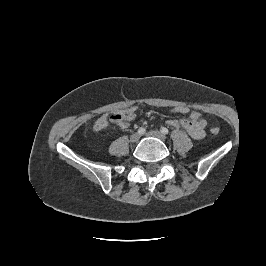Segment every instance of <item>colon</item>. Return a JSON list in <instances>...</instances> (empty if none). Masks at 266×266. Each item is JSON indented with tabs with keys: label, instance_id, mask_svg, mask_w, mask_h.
<instances>
[{
	"label": "colon",
	"instance_id": "colon-1",
	"mask_svg": "<svg viewBox=\"0 0 266 266\" xmlns=\"http://www.w3.org/2000/svg\"><path fill=\"white\" fill-rule=\"evenodd\" d=\"M135 110H136L135 108H129L127 110L114 112L109 117L110 121L112 123H115V124H120L126 120L134 118ZM171 112L175 113V114H183L184 115V114L191 113V110L187 106L179 105V106L173 107L171 109ZM210 131L212 134H218L220 129L218 127H212L210 129Z\"/></svg>",
	"mask_w": 266,
	"mask_h": 266
}]
</instances>
